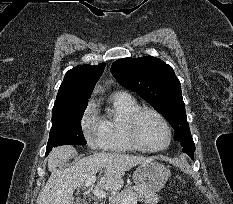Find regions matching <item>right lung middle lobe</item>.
Listing matches in <instances>:
<instances>
[{
	"label": "right lung middle lobe",
	"mask_w": 233,
	"mask_h": 204,
	"mask_svg": "<svg viewBox=\"0 0 233 204\" xmlns=\"http://www.w3.org/2000/svg\"><path fill=\"white\" fill-rule=\"evenodd\" d=\"M86 107L87 104L53 107L52 128L47 144L48 152L60 145L86 144L80 122Z\"/></svg>",
	"instance_id": "obj_1"
}]
</instances>
